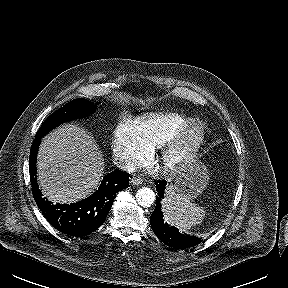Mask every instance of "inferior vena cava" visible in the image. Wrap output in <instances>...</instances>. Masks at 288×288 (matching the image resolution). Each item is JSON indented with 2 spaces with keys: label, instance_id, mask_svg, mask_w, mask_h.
Wrapping results in <instances>:
<instances>
[{
  "label": "inferior vena cava",
  "instance_id": "602c4592",
  "mask_svg": "<svg viewBox=\"0 0 288 288\" xmlns=\"http://www.w3.org/2000/svg\"><path fill=\"white\" fill-rule=\"evenodd\" d=\"M114 164L121 170L126 171L128 173L135 172L137 169V164L132 161L130 158L126 159H116Z\"/></svg>",
  "mask_w": 288,
  "mask_h": 288
}]
</instances>
